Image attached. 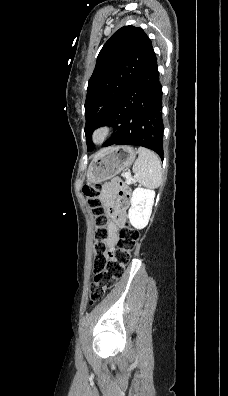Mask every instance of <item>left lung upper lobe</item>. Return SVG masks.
<instances>
[{"label": "left lung upper lobe", "mask_w": 228, "mask_h": 396, "mask_svg": "<svg viewBox=\"0 0 228 396\" xmlns=\"http://www.w3.org/2000/svg\"><path fill=\"white\" fill-rule=\"evenodd\" d=\"M154 50L141 28L124 26L104 44L88 82L85 135L88 151L94 129L110 122L126 90L143 71Z\"/></svg>", "instance_id": "5c2ea615"}]
</instances>
